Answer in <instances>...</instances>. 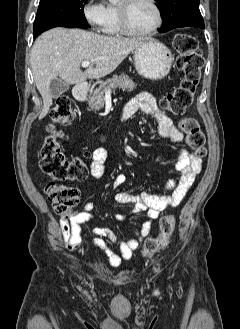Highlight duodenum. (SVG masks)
Instances as JSON below:
<instances>
[{
    "label": "duodenum",
    "mask_w": 240,
    "mask_h": 329,
    "mask_svg": "<svg viewBox=\"0 0 240 329\" xmlns=\"http://www.w3.org/2000/svg\"><path fill=\"white\" fill-rule=\"evenodd\" d=\"M87 88L84 84H78L73 88V96L77 101L86 100Z\"/></svg>",
    "instance_id": "duodenum-1"
}]
</instances>
